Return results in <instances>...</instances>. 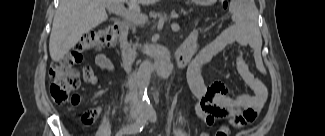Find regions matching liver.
<instances>
[{
  "mask_svg": "<svg viewBox=\"0 0 325 136\" xmlns=\"http://www.w3.org/2000/svg\"><path fill=\"white\" fill-rule=\"evenodd\" d=\"M125 0H60L54 16L49 41L52 60L59 61L81 37L107 18L105 6L123 5ZM157 0H130V7L138 11L137 4H153Z\"/></svg>",
  "mask_w": 325,
  "mask_h": 136,
  "instance_id": "6515ba94",
  "label": "liver"
}]
</instances>
